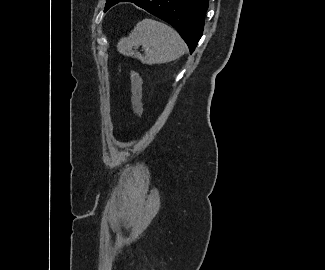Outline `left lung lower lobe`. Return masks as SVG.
<instances>
[{
    "mask_svg": "<svg viewBox=\"0 0 325 270\" xmlns=\"http://www.w3.org/2000/svg\"><path fill=\"white\" fill-rule=\"evenodd\" d=\"M133 2L172 25L187 43L190 53L203 32L208 0H119ZM117 2V3H118Z\"/></svg>",
    "mask_w": 325,
    "mask_h": 270,
    "instance_id": "left-lung-lower-lobe-1",
    "label": "left lung lower lobe"
}]
</instances>
